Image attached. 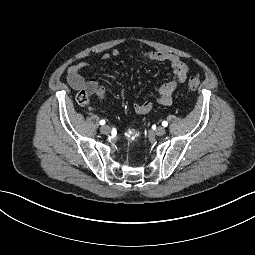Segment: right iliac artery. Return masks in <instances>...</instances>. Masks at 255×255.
Wrapping results in <instances>:
<instances>
[{
  "instance_id": "1",
  "label": "right iliac artery",
  "mask_w": 255,
  "mask_h": 255,
  "mask_svg": "<svg viewBox=\"0 0 255 255\" xmlns=\"http://www.w3.org/2000/svg\"><path fill=\"white\" fill-rule=\"evenodd\" d=\"M100 124H101V125H104V124H105V120H101V121H100Z\"/></svg>"
}]
</instances>
